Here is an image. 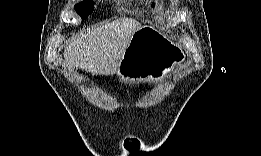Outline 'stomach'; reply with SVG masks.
<instances>
[{"instance_id": "stomach-1", "label": "stomach", "mask_w": 261, "mask_h": 156, "mask_svg": "<svg viewBox=\"0 0 261 156\" xmlns=\"http://www.w3.org/2000/svg\"><path fill=\"white\" fill-rule=\"evenodd\" d=\"M182 57L164 35L149 26H141L124 52L118 73L127 83L157 82L166 77L173 62Z\"/></svg>"}]
</instances>
